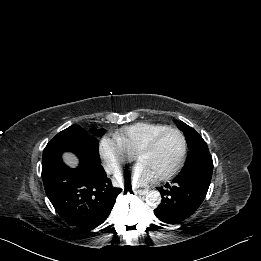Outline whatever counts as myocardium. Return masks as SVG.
<instances>
[{
	"label": "myocardium",
	"instance_id": "f54148a6",
	"mask_svg": "<svg viewBox=\"0 0 261 261\" xmlns=\"http://www.w3.org/2000/svg\"><path fill=\"white\" fill-rule=\"evenodd\" d=\"M167 133H176L181 140V153L176 165L167 173L157 176V180H168L175 176L183 167L187 154V141L184 134L177 128H166L155 134L145 145H143L135 154V159L138 160L142 155L153 150L161 137Z\"/></svg>",
	"mask_w": 261,
	"mask_h": 261
}]
</instances>
